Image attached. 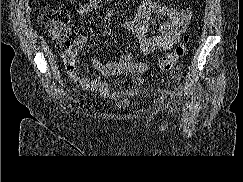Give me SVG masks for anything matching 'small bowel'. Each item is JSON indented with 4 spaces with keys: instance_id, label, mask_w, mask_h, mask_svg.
Returning a JSON list of instances; mask_svg holds the SVG:
<instances>
[{
    "instance_id": "1",
    "label": "small bowel",
    "mask_w": 243,
    "mask_h": 182,
    "mask_svg": "<svg viewBox=\"0 0 243 182\" xmlns=\"http://www.w3.org/2000/svg\"><path fill=\"white\" fill-rule=\"evenodd\" d=\"M101 8V0H87L78 6L80 15H88ZM153 15L167 17V21L159 26V34H150V19ZM192 19L190 9H176L171 6L157 3L154 0H144L132 21L121 22V27L133 33L140 43L142 57L135 58L132 53L124 54L118 62L104 63L95 59L93 68L99 76L90 78L80 74L76 67V55L85 45L86 38L78 37L75 41L74 55L65 58V68L68 75L82 89L98 93L102 98L117 100L134 95L136 89L143 83V75L149 69V64L144 56L151 54L155 49L169 51L186 30ZM119 74H129L133 88L122 91H112L109 84L102 77Z\"/></svg>"
}]
</instances>
